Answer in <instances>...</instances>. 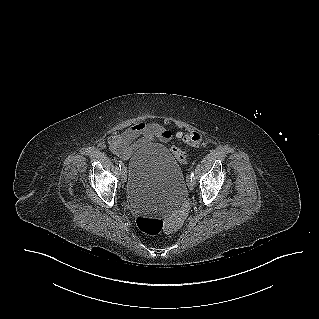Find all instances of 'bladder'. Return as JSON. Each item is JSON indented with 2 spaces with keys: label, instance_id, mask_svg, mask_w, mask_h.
Listing matches in <instances>:
<instances>
[{
  "label": "bladder",
  "instance_id": "bladder-1",
  "mask_svg": "<svg viewBox=\"0 0 319 319\" xmlns=\"http://www.w3.org/2000/svg\"><path fill=\"white\" fill-rule=\"evenodd\" d=\"M126 198L142 214L165 215L185 198V178L168 148L148 143L129 160Z\"/></svg>",
  "mask_w": 319,
  "mask_h": 319
}]
</instances>
